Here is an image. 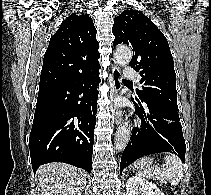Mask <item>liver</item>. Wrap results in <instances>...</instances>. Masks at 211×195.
I'll list each match as a JSON object with an SVG mask.
<instances>
[{
  "label": "liver",
  "instance_id": "liver-1",
  "mask_svg": "<svg viewBox=\"0 0 211 195\" xmlns=\"http://www.w3.org/2000/svg\"><path fill=\"white\" fill-rule=\"evenodd\" d=\"M41 195H81L87 174L74 166L53 162L37 170Z\"/></svg>",
  "mask_w": 211,
  "mask_h": 195
}]
</instances>
